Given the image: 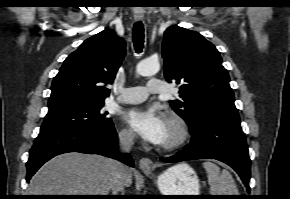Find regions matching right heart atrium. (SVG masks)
<instances>
[{
    "mask_svg": "<svg viewBox=\"0 0 290 199\" xmlns=\"http://www.w3.org/2000/svg\"><path fill=\"white\" fill-rule=\"evenodd\" d=\"M119 137H120V140L125 144H132L135 139L133 132L126 128L122 129L119 132Z\"/></svg>",
    "mask_w": 290,
    "mask_h": 199,
    "instance_id": "obj_1",
    "label": "right heart atrium"
}]
</instances>
